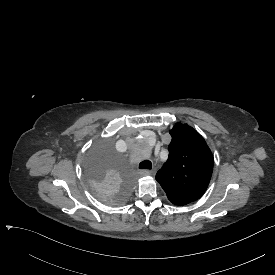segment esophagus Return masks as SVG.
I'll use <instances>...</instances> for the list:
<instances>
[{
  "instance_id": "34e87169",
  "label": "esophagus",
  "mask_w": 275,
  "mask_h": 275,
  "mask_svg": "<svg viewBox=\"0 0 275 275\" xmlns=\"http://www.w3.org/2000/svg\"><path fill=\"white\" fill-rule=\"evenodd\" d=\"M139 174H140L141 176H147V175H150V174H151V171L148 170V169H142V170L139 171Z\"/></svg>"
}]
</instances>
